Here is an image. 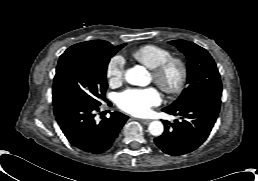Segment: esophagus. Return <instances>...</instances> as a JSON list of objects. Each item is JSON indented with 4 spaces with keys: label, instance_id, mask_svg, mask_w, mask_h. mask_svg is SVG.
<instances>
[{
    "label": "esophagus",
    "instance_id": "34e87169",
    "mask_svg": "<svg viewBox=\"0 0 258 181\" xmlns=\"http://www.w3.org/2000/svg\"><path fill=\"white\" fill-rule=\"evenodd\" d=\"M143 124H149L151 122V120L149 119H142L140 120Z\"/></svg>",
    "mask_w": 258,
    "mask_h": 181
}]
</instances>
